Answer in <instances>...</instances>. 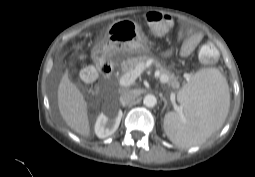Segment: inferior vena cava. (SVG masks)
<instances>
[{"mask_svg": "<svg viewBox=\"0 0 255 177\" xmlns=\"http://www.w3.org/2000/svg\"><path fill=\"white\" fill-rule=\"evenodd\" d=\"M138 96L139 94L135 90L126 91L120 96V104L122 106L130 105L134 103Z\"/></svg>", "mask_w": 255, "mask_h": 177, "instance_id": "602c4592", "label": "inferior vena cava"}]
</instances>
